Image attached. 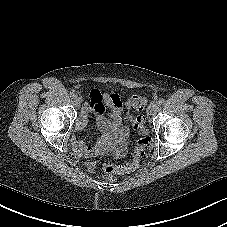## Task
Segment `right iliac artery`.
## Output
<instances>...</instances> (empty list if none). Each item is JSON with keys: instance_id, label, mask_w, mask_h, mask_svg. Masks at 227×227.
Wrapping results in <instances>:
<instances>
[{"instance_id": "obj_1", "label": "right iliac artery", "mask_w": 227, "mask_h": 227, "mask_svg": "<svg viewBox=\"0 0 227 227\" xmlns=\"http://www.w3.org/2000/svg\"><path fill=\"white\" fill-rule=\"evenodd\" d=\"M70 96H71V98H75L76 97V94L74 92H71L70 93Z\"/></svg>"}]
</instances>
